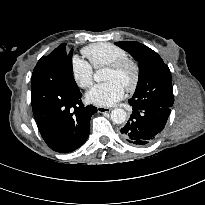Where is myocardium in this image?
I'll return each mask as SVG.
<instances>
[{
	"instance_id": "myocardium-1",
	"label": "myocardium",
	"mask_w": 205,
	"mask_h": 205,
	"mask_svg": "<svg viewBox=\"0 0 205 205\" xmlns=\"http://www.w3.org/2000/svg\"><path fill=\"white\" fill-rule=\"evenodd\" d=\"M125 68H130L132 71L131 80L125 86V89L129 92H133L138 87L140 81V67L138 63L131 58H123L114 61L106 66V69L119 72Z\"/></svg>"
}]
</instances>
